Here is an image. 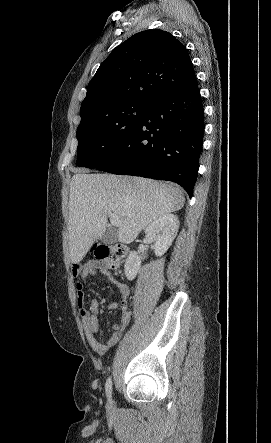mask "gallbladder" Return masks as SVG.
<instances>
[{"mask_svg": "<svg viewBox=\"0 0 271 443\" xmlns=\"http://www.w3.org/2000/svg\"><path fill=\"white\" fill-rule=\"evenodd\" d=\"M101 241H103V243H116L117 231H112V229H107L104 235H102Z\"/></svg>", "mask_w": 271, "mask_h": 443, "instance_id": "bac80fb5", "label": "gallbladder"}]
</instances>
